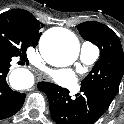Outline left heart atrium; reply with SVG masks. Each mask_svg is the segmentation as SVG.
Instances as JSON below:
<instances>
[{
	"instance_id": "1",
	"label": "left heart atrium",
	"mask_w": 124,
	"mask_h": 124,
	"mask_svg": "<svg viewBox=\"0 0 124 124\" xmlns=\"http://www.w3.org/2000/svg\"><path fill=\"white\" fill-rule=\"evenodd\" d=\"M54 82L60 86L68 87L76 82L75 74L68 69L54 70L50 74Z\"/></svg>"
}]
</instances>
